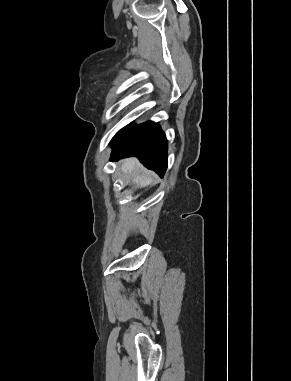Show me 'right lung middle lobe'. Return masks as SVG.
<instances>
[{
    "label": "right lung middle lobe",
    "mask_w": 291,
    "mask_h": 381,
    "mask_svg": "<svg viewBox=\"0 0 291 381\" xmlns=\"http://www.w3.org/2000/svg\"><path fill=\"white\" fill-rule=\"evenodd\" d=\"M120 134H121V131H119V132L116 134V136L112 139V142L115 141V140H117V139L119 138Z\"/></svg>",
    "instance_id": "right-lung-middle-lobe-1"
}]
</instances>
